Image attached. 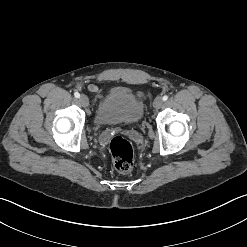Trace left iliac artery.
Wrapping results in <instances>:
<instances>
[{"instance_id": "44dca946", "label": "left iliac artery", "mask_w": 247, "mask_h": 247, "mask_svg": "<svg viewBox=\"0 0 247 247\" xmlns=\"http://www.w3.org/2000/svg\"><path fill=\"white\" fill-rule=\"evenodd\" d=\"M162 99H163V101H166L168 99V96L164 95Z\"/></svg>"}]
</instances>
